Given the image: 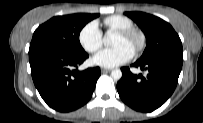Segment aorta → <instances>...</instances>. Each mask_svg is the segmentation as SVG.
Wrapping results in <instances>:
<instances>
[{"instance_id": "aorta-1", "label": "aorta", "mask_w": 203, "mask_h": 123, "mask_svg": "<svg viewBox=\"0 0 203 123\" xmlns=\"http://www.w3.org/2000/svg\"><path fill=\"white\" fill-rule=\"evenodd\" d=\"M104 43L105 44H109L110 43V37L109 36H105L104 37ZM111 77L114 79V80H119L121 79L122 77V72L120 69H114L112 72H111Z\"/></svg>"}]
</instances>
